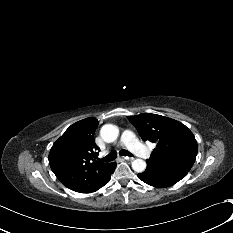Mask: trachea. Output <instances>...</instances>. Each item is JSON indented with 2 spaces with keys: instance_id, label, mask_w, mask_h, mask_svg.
I'll list each match as a JSON object with an SVG mask.
<instances>
[{
  "instance_id": "1",
  "label": "trachea",
  "mask_w": 233,
  "mask_h": 233,
  "mask_svg": "<svg viewBox=\"0 0 233 233\" xmlns=\"http://www.w3.org/2000/svg\"><path fill=\"white\" fill-rule=\"evenodd\" d=\"M119 154L121 156H130V157L132 156V154L129 151H127V150H121L119 152ZM116 157H117V153L116 152H111L106 157L102 158L101 160L103 162H111V161L115 160Z\"/></svg>"
}]
</instances>
